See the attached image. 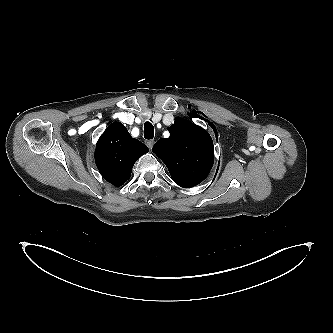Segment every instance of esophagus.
Here are the masks:
<instances>
[{
    "mask_svg": "<svg viewBox=\"0 0 333 333\" xmlns=\"http://www.w3.org/2000/svg\"><path fill=\"white\" fill-rule=\"evenodd\" d=\"M146 145L148 146L149 149H152L153 145H154V140H149L146 142Z\"/></svg>",
    "mask_w": 333,
    "mask_h": 333,
    "instance_id": "1",
    "label": "esophagus"
}]
</instances>
